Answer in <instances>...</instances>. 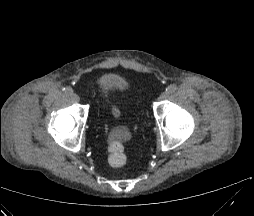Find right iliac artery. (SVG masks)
<instances>
[{"mask_svg":"<svg viewBox=\"0 0 254 216\" xmlns=\"http://www.w3.org/2000/svg\"><path fill=\"white\" fill-rule=\"evenodd\" d=\"M64 91H65V93H66L67 95H72V94H73V90H72V88H70V87L65 88Z\"/></svg>","mask_w":254,"mask_h":216,"instance_id":"1","label":"right iliac artery"}]
</instances>
